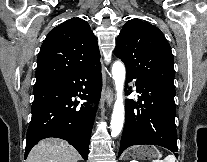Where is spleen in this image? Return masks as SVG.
Returning <instances> with one entry per match:
<instances>
[{
    "label": "spleen",
    "mask_w": 207,
    "mask_h": 162,
    "mask_svg": "<svg viewBox=\"0 0 207 162\" xmlns=\"http://www.w3.org/2000/svg\"><path fill=\"white\" fill-rule=\"evenodd\" d=\"M176 158L174 155H168L164 158V160H156L153 162H175Z\"/></svg>",
    "instance_id": "3e777b00"
}]
</instances>
